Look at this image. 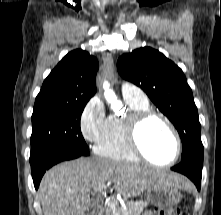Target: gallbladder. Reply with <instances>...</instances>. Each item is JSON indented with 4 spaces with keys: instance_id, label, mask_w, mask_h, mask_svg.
Returning <instances> with one entry per match:
<instances>
[{
    "instance_id": "obj_1",
    "label": "gallbladder",
    "mask_w": 221,
    "mask_h": 215,
    "mask_svg": "<svg viewBox=\"0 0 221 215\" xmlns=\"http://www.w3.org/2000/svg\"><path fill=\"white\" fill-rule=\"evenodd\" d=\"M89 211H90V210L88 209V210H87V214H86V215H89V214H88V213H89Z\"/></svg>"
}]
</instances>
